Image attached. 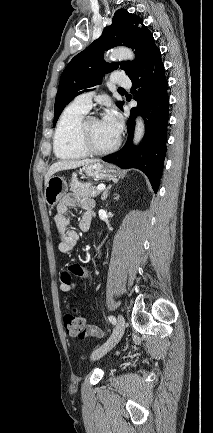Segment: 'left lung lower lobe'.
Returning <instances> with one entry per match:
<instances>
[{"mask_svg": "<svg viewBox=\"0 0 213 433\" xmlns=\"http://www.w3.org/2000/svg\"><path fill=\"white\" fill-rule=\"evenodd\" d=\"M129 78L132 81L131 93L138 105L131 109L128 118V138L121 150L102 160L124 169H140L148 176L153 190L157 192L166 156L169 120L168 82L160 50L157 47L152 50L143 65ZM137 114H141L145 120L146 133L143 142L135 147L132 139Z\"/></svg>", "mask_w": 213, "mask_h": 433, "instance_id": "obj_1", "label": "left lung lower lobe"}]
</instances>
